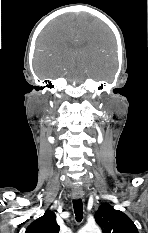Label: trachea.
Wrapping results in <instances>:
<instances>
[{
    "label": "trachea",
    "mask_w": 148,
    "mask_h": 233,
    "mask_svg": "<svg viewBox=\"0 0 148 233\" xmlns=\"http://www.w3.org/2000/svg\"><path fill=\"white\" fill-rule=\"evenodd\" d=\"M73 208L76 216V221L81 222V220L83 219V203L80 198L73 200Z\"/></svg>",
    "instance_id": "trachea-1"
}]
</instances>
